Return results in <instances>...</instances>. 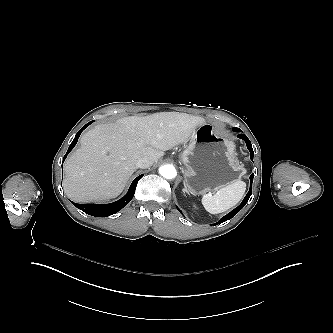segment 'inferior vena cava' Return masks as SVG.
<instances>
[{
    "instance_id": "1",
    "label": "inferior vena cava",
    "mask_w": 333,
    "mask_h": 333,
    "mask_svg": "<svg viewBox=\"0 0 333 333\" xmlns=\"http://www.w3.org/2000/svg\"><path fill=\"white\" fill-rule=\"evenodd\" d=\"M152 164L153 163H152L151 159H149L148 157H141L137 160L136 167L145 169V168L150 167Z\"/></svg>"
}]
</instances>
